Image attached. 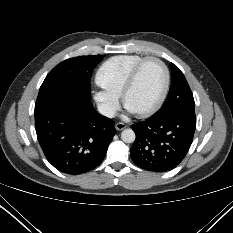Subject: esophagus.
Segmentation results:
<instances>
[{
  "label": "esophagus",
  "mask_w": 233,
  "mask_h": 233,
  "mask_svg": "<svg viewBox=\"0 0 233 233\" xmlns=\"http://www.w3.org/2000/svg\"><path fill=\"white\" fill-rule=\"evenodd\" d=\"M126 127H127V125L124 124V123H122V122H118V123H116V125H115V128H116V130H118V131H121V130L125 129Z\"/></svg>",
  "instance_id": "obj_1"
}]
</instances>
